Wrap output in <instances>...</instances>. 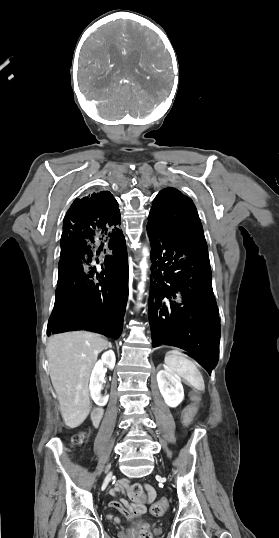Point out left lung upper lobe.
Segmentation results:
<instances>
[{
    "mask_svg": "<svg viewBox=\"0 0 279 538\" xmlns=\"http://www.w3.org/2000/svg\"><path fill=\"white\" fill-rule=\"evenodd\" d=\"M147 230L178 241L206 243L192 200L171 187L161 190L153 200Z\"/></svg>",
    "mask_w": 279,
    "mask_h": 538,
    "instance_id": "obj_1",
    "label": "left lung upper lobe"
}]
</instances>
